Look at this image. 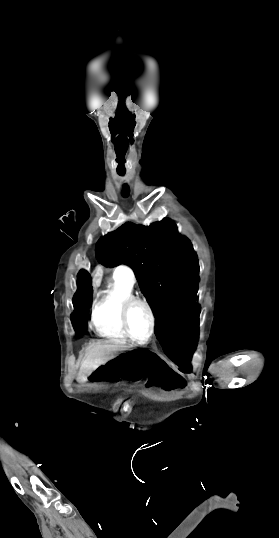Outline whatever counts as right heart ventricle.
<instances>
[{"instance_id": "1", "label": "right heart ventricle", "mask_w": 279, "mask_h": 538, "mask_svg": "<svg viewBox=\"0 0 279 538\" xmlns=\"http://www.w3.org/2000/svg\"><path fill=\"white\" fill-rule=\"evenodd\" d=\"M96 235V230L87 232L88 239L91 241ZM128 270L133 273L130 267ZM127 275L128 272L112 276L104 291L92 304L90 323L100 336L115 340L128 339L120 322L122 304L126 299L134 296V280H129Z\"/></svg>"}]
</instances>
